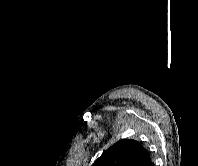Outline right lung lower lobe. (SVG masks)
I'll use <instances>...</instances> for the list:
<instances>
[{
    "instance_id": "obj_1",
    "label": "right lung lower lobe",
    "mask_w": 198,
    "mask_h": 166,
    "mask_svg": "<svg viewBox=\"0 0 198 166\" xmlns=\"http://www.w3.org/2000/svg\"><path fill=\"white\" fill-rule=\"evenodd\" d=\"M150 166H154V164H153V163H151V164H150Z\"/></svg>"
}]
</instances>
